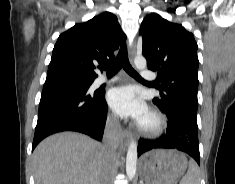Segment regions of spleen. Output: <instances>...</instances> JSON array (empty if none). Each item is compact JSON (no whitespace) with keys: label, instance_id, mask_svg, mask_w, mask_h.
Segmentation results:
<instances>
[{"label":"spleen","instance_id":"3e777b00","mask_svg":"<svg viewBox=\"0 0 235 184\" xmlns=\"http://www.w3.org/2000/svg\"><path fill=\"white\" fill-rule=\"evenodd\" d=\"M180 184H200L199 168L194 160H190L188 172Z\"/></svg>","mask_w":235,"mask_h":184}]
</instances>
